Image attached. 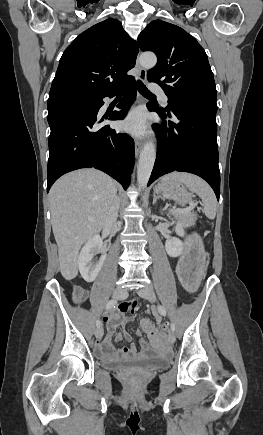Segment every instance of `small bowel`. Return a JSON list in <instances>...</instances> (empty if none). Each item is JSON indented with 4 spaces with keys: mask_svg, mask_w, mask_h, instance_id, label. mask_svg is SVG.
Returning a JSON list of instances; mask_svg holds the SVG:
<instances>
[{
    "mask_svg": "<svg viewBox=\"0 0 263 435\" xmlns=\"http://www.w3.org/2000/svg\"><path fill=\"white\" fill-rule=\"evenodd\" d=\"M186 260V259H181ZM180 261L177 265V273L180 269ZM136 304H126L124 307L119 308L117 311L111 312L108 314L104 320L107 324L108 328V335L101 341L97 342L95 345V351L99 358L103 360H112V359H138L146 354L150 355H157L159 353V350L162 348V343L160 339L163 342L164 335L162 332L158 331L154 325L151 323L149 319H143L141 324L143 330L148 334L151 341H146V339L142 336V333L140 331H137L136 334L138 336V342L141 347V352L137 350V347L135 344H131L129 347H121L118 348L114 345L112 341V335L115 332L116 328L119 326H124L126 323H128L132 316L128 315V313H134L136 310ZM158 321H160V318L157 317ZM123 338H125L127 341H131L132 337L128 333L124 334H117L116 341L119 342Z\"/></svg>",
    "mask_w": 263,
    "mask_h": 435,
    "instance_id": "small-bowel-1",
    "label": "small bowel"
}]
</instances>
